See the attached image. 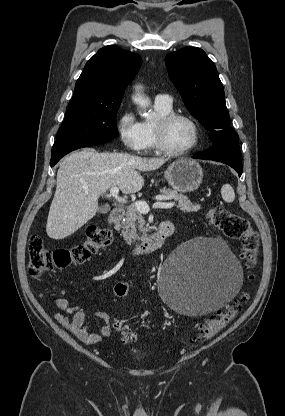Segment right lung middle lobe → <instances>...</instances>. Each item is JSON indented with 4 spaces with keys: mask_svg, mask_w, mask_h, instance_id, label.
Returning <instances> with one entry per match:
<instances>
[{
    "mask_svg": "<svg viewBox=\"0 0 285 416\" xmlns=\"http://www.w3.org/2000/svg\"><path fill=\"white\" fill-rule=\"evenodd\" d=\"M120 103L121 100L84 102L72 99L56 139L117 137L116 114Z\"/></svg>",
    "mask_w": 285,
    "mask_h": 416,
    "instance_id": "right-lung-middle-lobe-1",
    "label": "right lung middle lobe"
}]
</instances>
